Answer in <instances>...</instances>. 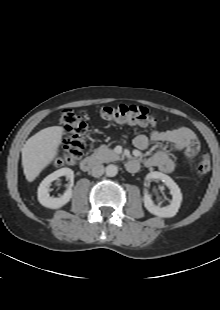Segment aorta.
<instances>
[{"instance_id": "aorta-1", "label": "aorta", "mask_w": 220, "mask_h": 310, "mask_svg": "<svg viewBox=\"0 0 220 310\" xmlns=\"http://www.w3.org/2000/svg\"><path fill=\"white\" fill-rule=\"evenodd\" d=\"M105 172L108 177H114L118 173V167L114 164H110L105 168Z\"/></svg>"}]
</instances>
